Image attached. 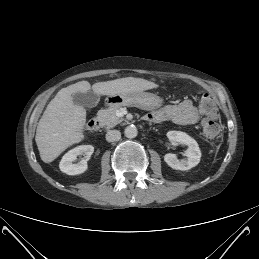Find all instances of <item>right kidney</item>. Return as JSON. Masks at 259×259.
Here are the masks:
<instances>
[{
	"mask_svg": "<svg viewBox=\"0 0 259 259\" xmlns=\"http://www.w3.org/2000/svg\"><path fill=\"white\" fill-rule=\"evenodd\" d=\"M93 152L94 147L92 145H80L71 149L62 157L59 164L60 170L68 175H79L84 173L88 168L87 161L90 159ZM79 155H84V159L76 164L73 163Z\"/></svg>",
	"mask_w": 259,
	"mask_h": 259,
	"instance_id": "right-kidney-1",
	"label": "right kidney"
}]
</instances>
